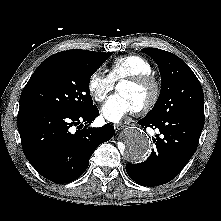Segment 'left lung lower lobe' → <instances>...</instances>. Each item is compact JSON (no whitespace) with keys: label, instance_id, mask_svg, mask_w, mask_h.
<instances>
[{"label":"left lung lower lobe","instance_id":"left-lung-lower-lobe-1","mask_svg":"<svg viewBox=\"0 0 221 221\" xmlns=\"http://www.w3.org/2000/svg\"><path fill=\"white\" fill-rule=\"evenodd\" d=\"M205 120V119H204ZM204 120L176 114L159 120L146 117L138 121L144 129H158L153 142L156 149L149 158L139 164H127L126 171L130 178L143 186H159L174 179L195 153Z\"/></svg>","mask_w":221,"mask_h":221}]
</instances>
